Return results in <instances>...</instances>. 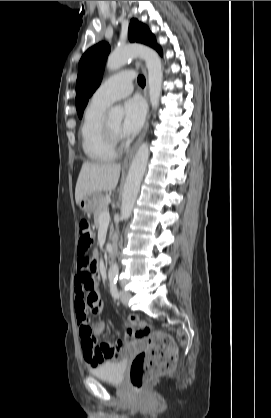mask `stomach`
Here are the masks:
<instances>
[{
    "label": "stomach",
    "mask_w": 271,
    "mask_h": 418,
    "mask_svg": "<svg viewBox=\"0 0 271 418\" xmlns=\"http://www.w3.org/2000/svg\"><path fill=\"white\" fill-rule=\"evenodd\" d=\"M102 198L101 193H92L86 195L79 202V208L86 214L94 213Z\"/></svg>",
    "instance_id": "1"
}]
</instances>
